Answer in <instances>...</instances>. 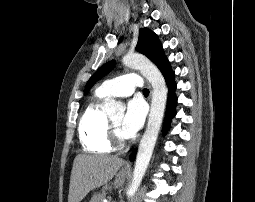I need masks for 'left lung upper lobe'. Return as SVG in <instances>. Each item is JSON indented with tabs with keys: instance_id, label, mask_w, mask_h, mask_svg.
Returning <instances> with one entry per match:
<instances>
[{
	"instance_id": "obj_1",
	"label": "left lung upper lobe",
	"mask_w": 255,
	"mask_h": 202,
	"mask_svg": "<svg viewBox=\"0 0 255 202\" xmlns=\"http://www.w3.org/2000/svg\"><path fill=\"white\" fill-rule=\"evenodd\" d=\"M136 50L144 54L158 66L165 80L174 74L169 65V61L163 53L161 43L159 42L156 34L149 29L141 28L139 30V39ZM114 65L115 62L111 61L100 67L87 82L84 94L88 93L89 89L95 84L96 81L110 72Z\"/></svg>"
}]
</instances>
